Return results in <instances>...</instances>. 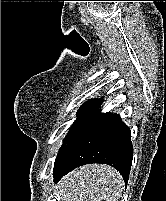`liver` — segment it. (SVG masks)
<instances>
[{
  "label": "liver",
  "instance_id": "obj_1",
  "mask_svg": "<svg viewBox=\"0 0 166 201\" xmlns=\"http://www.w3.org/2000/svg\"><path fill=\"white\" fill-rule=\"evenodd\" d=\"M123 188L122 176L105 164L76 168L56 185L60 201H116Z\"/></svg>",
  "mask_w": 166,
  "mask_h": 201
}]
</instances>
